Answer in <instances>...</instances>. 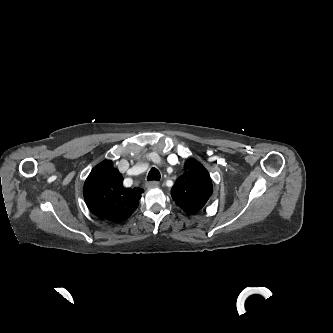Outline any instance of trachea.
<instances>
[{
    "mask_svg": "<svg viewBox=\"0 0 333 333\" xmlns=\"http://www.w3.org/2000/svg\"><path fill=\"white\" fill-rule=\"evenodd\" d=\"M160 180V173L156 168H151L148 173L147 181H158Z\"/></svg>",
    "mask_w": 333,
    "mask_h": 333,
    "instance_id": "obj_1",
    "label": "trachea"
}]
</instances>
